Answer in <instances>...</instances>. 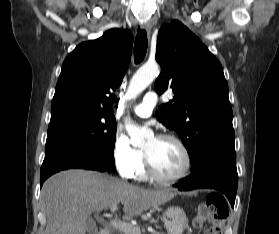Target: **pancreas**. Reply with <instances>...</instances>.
Returning a JSON list of instances; mask_svg holds the SVG:
<instances>
[{
    "mask_svg": "<svg viewBox=\"0 0 279 234\" xmlns=\"http://www.w3.org/2000/svg\"><path fill=\"white\" fill-rule=\"evenodd\" d=\"M134 231H130L128 233L124 232V234H140V228L136 226H132Z\"/></svg>",
    "mask_w": 279,
    "mask_h": 234,
    "instance_id": "obj_1",
    "label": "pancreas"
}]
</instances>
